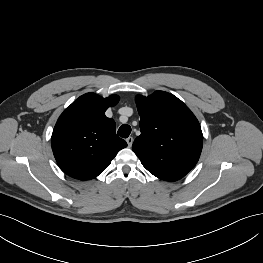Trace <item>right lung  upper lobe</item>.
Returning <instances> with one entry per match:
<instances>
[{
	"instance_id": "cb5924a9",
	"label": "right lung upper lobe",
	"mask_w": 263,
	"mask_h": 263,
	"mask_svg": "<svg viewBox=\"0 0 263 263\" xmlns=\"http://www.w3.org/2000/svg\"><path fill=\"white\" fill-rule=\"evenodd\" d=\"M117 95L103 98L87 93L76 99L59 117L51 137L60 168L70 177L90 180L100 175L127 143L116 135V124L105 116Z\"/></svg>"
}]
</instances>
